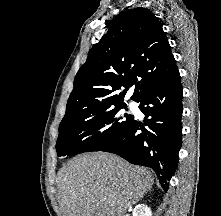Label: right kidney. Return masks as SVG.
I'll use <instances>...</instances> for the list:
<instances>
[{
    "mask_svg": "<svg viewBox=\"0 0 221 216\" xmlns=\"http://www.w3.org/2000/svg\"><path fill=\"white\" fill-rule=\"evenodd\" d=\"M133 216H152V212L147 205L139 204L134 208Z\"/></svg>",
    "mask_w": 221,
    "mask_h": 216,
    "instance_id": "right-kidney-1",
    "label": "right kidney"
}]
</instances>
